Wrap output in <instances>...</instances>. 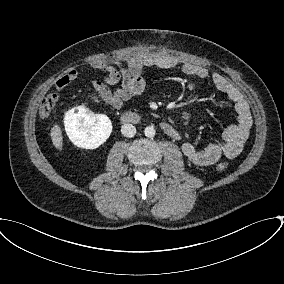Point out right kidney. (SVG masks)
Here are the masks:
<instances>
[{
	"label": "right kidney",
	"mask_w": 284,
	"mask_h": 284,
	"mask_svg": "<svg viewBox=\"0 0 284 284\" xmlns=\"http://www.w3.org/2000/svg\"><path fill=\"white\" fill-rule=\"evenodd\" d=\"M66 133L71 142L80 148L96 149L112 132V123L104 114H94L84 106L66 112L64 117Z\"/></svg>",
	"instance_id": "right-kidney-1"
}]
</instances>
